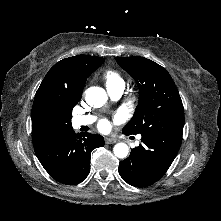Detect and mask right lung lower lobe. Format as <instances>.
I'll return each mask as SVG.
<instances>
[{
	"instance_id": "98d812e1",
	"label": "right lung lower lobe",
	"mask_w": 221,
	"mask_h": 221,
	"mask_svg": "<svg viewBox=\"0 0 221 221\" xmlns=\"http://www.w3.org/2000/svg\"><path fill=\"white\" fill-rule=\"evenodd\" d=\"M104 146L97 134H76L70 129L62 136L34 148L37 158L48 174L67 185L82 182L90 172V154L96 147Z\"/></svg>"
}]
</instances>
